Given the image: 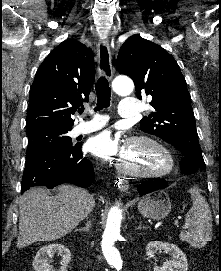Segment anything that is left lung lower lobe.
Listing matches in <instances>:
<instances>
[{"label":"left lung lower lobe","mask_w":221,"mask_h":271,"mask_svg":"<svg viewBox=\"0 0 221 271\" xmlns=\"http://www.w3.org/2000/svg\"><path fill=\"white\" fill-rule=\"evenodd\" d=\"M181 173L183 174H191L196 172H201L204 169L199 168L193 160L190 158L181 155ZM168 186L167 181H155V182H143L140 185H137L138 192L140 195H145L155 190L163 189Z\"/></svg>","instance_id":"1"}]
</instances>
